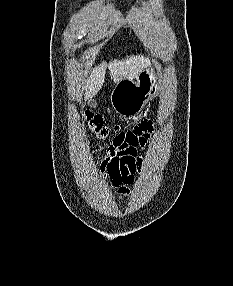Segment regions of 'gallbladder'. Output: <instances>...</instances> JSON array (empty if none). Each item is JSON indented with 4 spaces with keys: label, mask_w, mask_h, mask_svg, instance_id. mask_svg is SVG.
<instances>
[{
    "label": "gallbladder",
    "mask_w": 233,
    "mask_h": 286,
    "mask_svg": "<svg viewBox=\"0 0 233 286\" xmlns=\"http://www.w3.org/2000/svg\"><path fill=\"white\" fill-rule=\"evenodd\" d=\"M88 105H89L90 107H96V106H97V103H96V101H95L94 99H89V100H88Z\"/></svg>",
    "instance_id": "gallbladder-1"
}]
</instances>
